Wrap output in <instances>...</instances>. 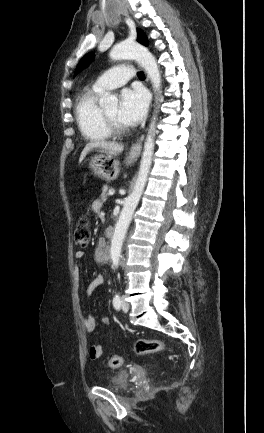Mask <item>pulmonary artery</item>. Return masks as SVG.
<instances>
[{"label": "pulmonary artery", "instance_id": "1", "mask_svg": "<svg viewBox=\"0 0 264 433\" xmlns=\"http://www.w3.org/2000/svg\"><path fill=\"white\" fill-rule=\"evenodd\" d=\"M133 77L130 65H117L100 76L95 81L93 88L100 92L115 89L126 84Z\"/></svg>", "mask_w": 264, "mask_h": 433}]
</instances>
